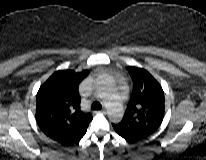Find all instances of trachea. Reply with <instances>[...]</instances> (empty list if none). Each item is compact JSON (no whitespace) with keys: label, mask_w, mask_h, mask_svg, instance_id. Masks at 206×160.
<instances>
[{"label":"trachea","mask_w":206,"mask_h":160,"mask_svg":"<svg viewBox=\"0 0 206 160\" xmlns=\"http://www.w3.org/2000/svg\"><path fill=\"white\" fill-rule=\"evenodd\" d=\"M102 108L101 104L97 101L93 102L92 109L93 110H100Z\"/></svg>","instance_id":"obj_1"}]
</instances>
